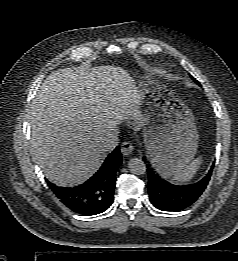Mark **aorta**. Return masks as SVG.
<instances>
[{"label":"aorta","mask_w":238,"mask_h":261,"mask_svg":"<svg viewBox=\"0 0 238 261\" xmlns=\"http://www.w3.org/2000/svg\"><path fill=\"white\" fill-rule=\"evenodd\" d=\"M128 168L132 174L143 175L146 172V165L141 158H132L128 162Z\"/></svg>","instance_id":"762f6f07"}]
</instances>
